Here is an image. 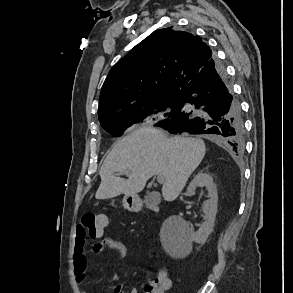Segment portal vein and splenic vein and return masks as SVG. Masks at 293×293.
Segmentation results:
<instances>
[{
    "mask_svg": "<svg viewBox=\"0 0 293 293\" xmlns=\"http://www.w3.org/2000/svg\"><path fill=\"white\" fill-rule=\"evenodd\" d=\"M157 181H158L159 183H164V178H163L161 175H158V176H157Z\"/></svg>",
    "mask_w": 293,
    "mask_h": 293,
    "instance_id": "18ae733b",
    "label": "portal vein and splenic vein"
}]
</instances>
